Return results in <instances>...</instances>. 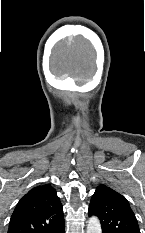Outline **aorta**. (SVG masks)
<instances>
[{"instance_id":"aorta-1","label":"aorta","mask_w":145,"mask_h":233,"mask_svg":"<svg viewBox=\"0 0 145 233\" xmlns=\"http://www.w3.org/2000/svg\"><path fill=\"white\" fill-rule=\"evenodd\" d=\"M86 233H102L101 224L97 217H90L87 224Z\"/></svg>"}]
</instances>
